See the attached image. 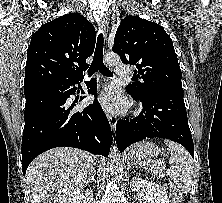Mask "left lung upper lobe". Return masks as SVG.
<instances>
[{"label":"left lung upper lobe","mask_w":222,"mask_h":203,"mask_svg":"<svg viewBox=\"0 0 222 203\" xmlns=\"http://www.w3.org/2000/svg\"><path fill=\"white\" fill-rule=\"evenodd\" d=\"M112 51L124 64L134 65L137 78L142 79L126 86L135 99L161 89L183 92L173 42L159 24L137 16L125 17L116 31Z\"/></svg>","instance_id":"left-lung-upper-lobe-1"}]
</instances>
